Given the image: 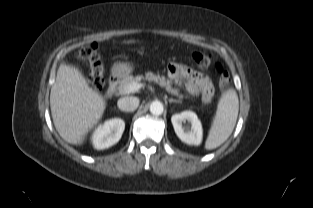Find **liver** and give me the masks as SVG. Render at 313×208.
I'll return each mask as SVG.
<instances>
[{
	"label": "liver",
	"instance_id": "obj_1",
	"mask_svg": "<svg viewBox=\"0 0 313 208\" xmlns=\"http://www.w3.org/2000/svg\"><path fill=\"white\" fill-rule=\"evenodd\" d=\"M54 126L66 142L81 145L105 110L101 95L73 67L61 65L50 93Z\"/></svg>",
	"mask_w": 313,
	"mask_h": 208
}]
</instances>
